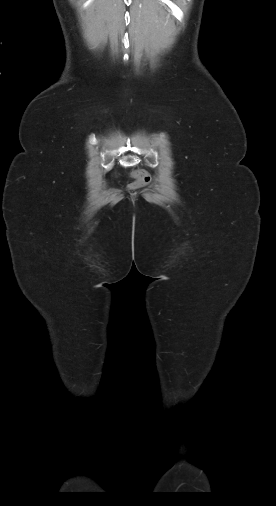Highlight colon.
<instances>
[{"label": "colon", "mask_w": 276, "mask_h": 506, "mask_svg": "<svg viewBox=\"0 0 276 506\" xmlns=\"http://www.w3.org/2000/svg\"><path fill=\"white\" fill-rule=\"evenodd\" d=\"M132 176L135 178V181L131 184L132 189L142 188L150 182V176L144 170H136Z\"/></svg>", "instance_id": "colon-1"}]
</instances>
